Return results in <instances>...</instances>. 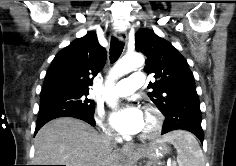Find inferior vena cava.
Wrapping results in <instances>:
<instances>
[{
    "label": "inferior vena cava",
    "instance_id": "inferior-vena-cava-1",
    "mask_svg": "<svg viewBox=\"0 0 236 166\" xmlns=\"http://www.w3.org/2000/svg\"><path fill=\"white\" fill-rule=\"evenodd\" d=\"M103 138H104L107 149L111 151L116 146L115 136L111 133H105L103 135Z\"/></svg>",
    "mask_w": 236,
    "mask_h": 166
}]
</instances>
